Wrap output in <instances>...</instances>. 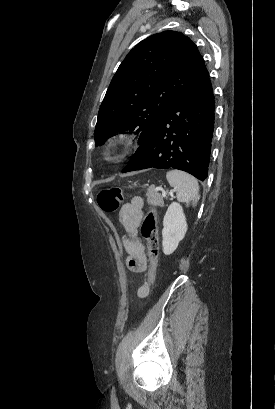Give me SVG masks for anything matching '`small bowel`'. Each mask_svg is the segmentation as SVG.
I'll list each match as a JSON object with an SVG mask.
<instances>
[{"label": "small bowel", "instance_id": "obj_1", "mask_svg": "<svg viewBox=\"0 0 275 409\" xmlns=\"http://www.w3.org/2000/svg\"><path fill=\"white\" fill-rule=\"evenodd\" d=\"M144 199L140 196L133 197L123 205L120 211V221L127 236L122 239L123 246L128 254L126 263L132 272L140 273L148 269L146 248L138 235V227L144 216ZM138 289L137 295L142 297L143 289Z\"/></svg>", "mask_w": 275, "mask_h": 409}]
</instances>
